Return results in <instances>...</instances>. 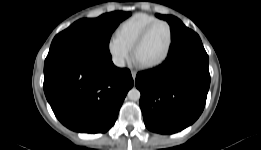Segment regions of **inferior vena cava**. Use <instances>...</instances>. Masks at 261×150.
<instances>
[{
	"label": "inferior vena cava",
	"mask_w": 261,
	"mask_h": 150,
	"mask_svg": "<svg viewBox=\"0 0 261 150\" xmlns=\"http://www.w3.org/2000/svg\"><path fill=\"white\" fill-rule=\"evenodd\" d=\"M113 63L117 67H125V60L122 57H114Z\"/></svg>",
	"instance_id": "1"
}]
</instances>
